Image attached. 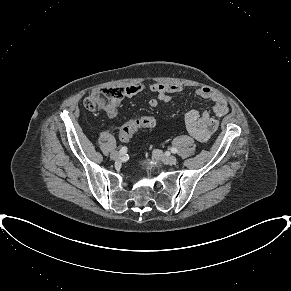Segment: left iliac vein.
Listing matches in <instances>:
<instances>
[{
	"label": "left iliac vein",
	"instance_id": "left-iliac-vein-1",
	"mask_svg": "<svg viewBox=\"0 0 291 291\" xmlns=\"http://www.w3.org/2000/svg\"><path fill=\"white\" fill-rule=\"evenodd\" d=\"M154 159L164 163V164H175L177 162V158L173 155H166L159 149L153 150Z\"/></svg>",
	"mask_w": 291,
	"mask_h": 291
}]
</instances>
